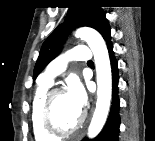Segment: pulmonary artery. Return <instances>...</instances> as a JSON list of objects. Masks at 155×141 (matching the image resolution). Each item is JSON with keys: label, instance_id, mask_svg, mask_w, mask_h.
<instances>
[{"label": "pulmonary artery", "instance_id": "pulmonary-artery-1", "mask_svg": "<svg viewBox=\"0 0 155 141\" xmlns=\"http://www.w3.org/2000/svg\"><path fill=\"white\" fill-rule=\"evenodd\" d=\"M91 53L87 46L81 45L72 48L69 52L58 57L52 64L49 71L40 76L42 82L52 83L54 76L59 74L65 67L68 61H90Z\"/></svg>", "mask_w": 155, "mask_h": 141}]
</instances>
